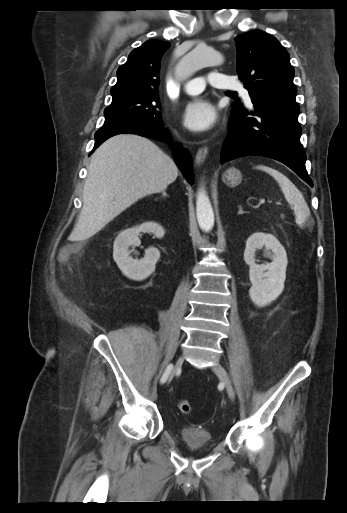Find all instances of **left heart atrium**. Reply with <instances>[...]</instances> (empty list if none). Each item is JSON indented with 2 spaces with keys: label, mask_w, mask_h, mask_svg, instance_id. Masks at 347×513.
I'll return each mask as SVG.
<instances>
[{
  "label": "left heart atrium",
  "mask_w": 347,
  "mask_h": 513,
  "mask_svg": "<svg viewBox=\"0 0 347 513\" xmlns=\"http://www.w3.org/2000/svg\"><path fill=\"white\" fill-rule=\"evenodd\" d=\"M216 121V111L213 104L205 98H194L184 108V125L196 132L209 130Z\"/></svg>",
  "instance_id": "1"
}]
</instances>
